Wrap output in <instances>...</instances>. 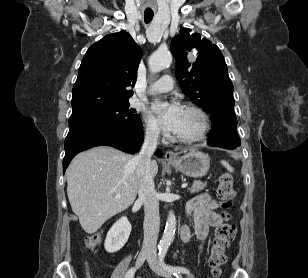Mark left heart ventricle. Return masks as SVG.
Returning a JSON list of instances; mask_svg holds the SVG:
<instances>
[{
    "label": "left heart ventricle",
    "instance_id": "1",
    "mask_svg": "<svg viewBox=\"0 0 308 278\" xmlns=\"http://www.w3.org/2000/svg\"><path fill=\"white\" fill-rule=\"evenodd\" d=\"M201 121L197 114L192 111L183 110L180 125L176 134L178 135H193L199 131Z\"/></svg>",
    "mask_w": 308,
    "mask_h": 278
}]
</instances>
